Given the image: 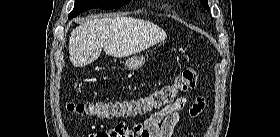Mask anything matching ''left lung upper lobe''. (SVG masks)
<instances>
[{
    "mask_svg": "<svg viewBox=\"0 0 280 137\" xmlns=\"http://www.w3.org/2000/svg\"><path fill=\"white\" fill-rule=\"evenodd\" d=\"M202 5L206 8V9H210L208 4H207V0H200Z\"/></svg>",
    "mask_w": 280,
    "mask_h": 137,
    "instance_id": "5c2ea615",
    "label": "left lung upper lobe"
}]
</instances>
